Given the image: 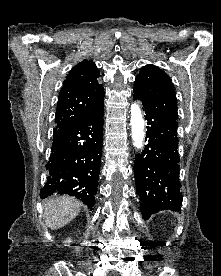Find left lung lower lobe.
I'll return each instance as SVG.
<instances>
[{"mask_svg": "<svg viewBox=\"0 0 221 276\" xmlns=\"http://www.w3.org/2000/svg\"><path fill=\"white\" fill-rule=\"evenodd\" d=\"M144 111L147 144L136 155L134 176L142 217L148 219L161 210L180 212L183 195L179 182L178 123Z\"/></svg>", "mask_w": 221, "mask_h": 276, "instance_id": "obj_1", "label": "left lung lower lobe"}]
</instances>
